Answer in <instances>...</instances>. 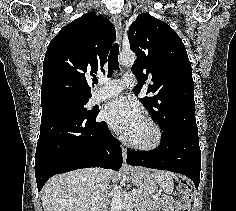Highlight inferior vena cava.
Instances as JSON below:
<instances>
[{
  "instance_id": "obj_1",
  "label": "inferior vena cava",
  "mask_w": 236,
  "mask_h": 211,
  "mask_svg": "<svg viewBox=\"0 0 236 211\" xmlns=\"http://www.w3.org/2000/svg\"><path fill=\"white\" fill-rule=\"evenodd\" d=\"M96 187L91 197V211H107L108 176L106 170L96 169Z\"/></svg>"
}]
</instances>
